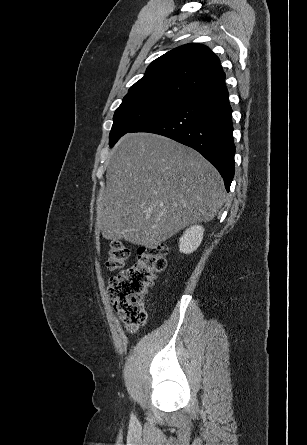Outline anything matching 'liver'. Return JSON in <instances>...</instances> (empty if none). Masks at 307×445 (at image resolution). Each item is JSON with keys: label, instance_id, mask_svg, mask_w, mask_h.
I'll list each match as a JSON object with an SVG mask.
<instances>
[{"label": "liver", "instance_id": "6515ba94", "mask_svg": "<svg viewBox=\"0 0 307 445\" xmlns=\"http://www.w3.org/2000/svg\"><path fill=\"white\" fill-rule=\"evenodd\" d=\"M225 202L222 176L197 150L152 132H128L114 150L98 227L109 241L155 249Z\"/></svg>", "mask_w": 307, "mask_h": 445}]
</instances>
